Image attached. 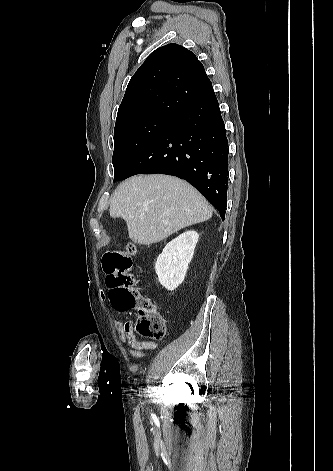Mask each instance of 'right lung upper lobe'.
<instances>
[{
	"label": "right lung upper lobe",
	"mask_w": 333,
	"mask_h": 471,
	"mask_svg": "<svg viewBox=\"0 0 333 471\" xmlns=\"http://www.w3.org/2000/svg\"><path fill=\"white\" fill-rule=\"evenodd\" d=\"M212 89L202 63L178 44L156 49L130 79L117 120L154 112L176 116Z\"/></svg>",
	"instance_id": "obj_1"
}]
</instances>
